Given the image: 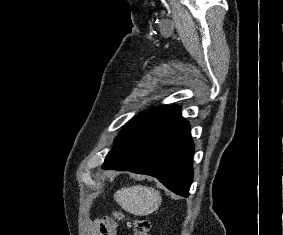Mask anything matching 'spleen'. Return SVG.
Listing matches in <instances>:
<instances>
[{
  "label": "spleen",
  "mask_w": 283,
  "mask_h": 235,
  "mask_svg": "<svg viewBox=\"0 0 283 235\" xmlns=\"http://www.w3.org/2000/svg\"><path fill=\"white\" fill-rule=\"evenodd\" d=\"M113 197L123 210L136 216H146L153 213L162 202L158 190L142 185L123 187L117 190Z\"/></svg>",
  "instance_id": "1"
}]
</instances>
